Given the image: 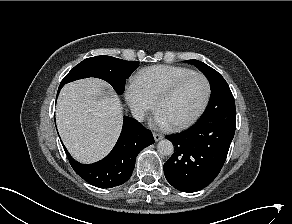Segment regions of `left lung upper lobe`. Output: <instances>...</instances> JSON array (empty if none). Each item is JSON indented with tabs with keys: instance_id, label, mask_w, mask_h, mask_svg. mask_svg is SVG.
Listing matches in <instances>:
<instances>
[{
	"instance_id": "5c2ea615",
	"label": "left lung upper lobe",
	"mask_w": 292,
	"mask_h": 224,
	"mask_svg": "<svg viewBox=\"0 0 292 224\" xmlns=\"http://www.w3.org/2000/svg\"><path fill=\"white\" fill-rule=\"evenodd\" d=\"M186 62L195 65L210 82V101L198 122L205 121L224 112L236 111L234 97L220 73L198 60H187Z\"/></svg>"
}]
</instances>
